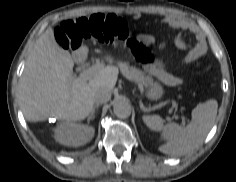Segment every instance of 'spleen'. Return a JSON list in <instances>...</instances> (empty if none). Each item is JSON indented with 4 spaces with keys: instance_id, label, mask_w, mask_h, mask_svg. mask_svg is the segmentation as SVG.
Masks as SVG:
<instances>
[{
    "instance_id": "1",
    "label": "spleen",
    "mask_w": 236,
    "mask_h": 182,
    "mask_svg": "<svg viewBox=\"0 0 236 182\" xmlns=\"http://www.w3.org/2000/svg\"><path fill=\"white\" fill-rule=\"evenodd\" d=\"M217 114V101L209 100L192 110V121L181 127L176 123L163 124L158 115L143 116L146 126L153 131H160L166 143L160 151L170 155H183L198 148L213 126Z\"/></svg>"
}]
</instances>
